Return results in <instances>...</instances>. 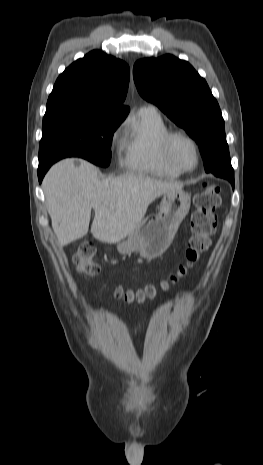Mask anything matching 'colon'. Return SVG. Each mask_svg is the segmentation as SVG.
Returning a JSON list of instances; mask_svg holds the SVG:
<instances>
[{
  "mask_svg": "<svg viewBox=\"0 0 263 465\" xmlns=\"http://www.w3.org/2000/svg\"><path fill=\"white\" fill-rule=\"evenodd\" d=\"M193 202L195 210L191 216L192 236L186 250V262L171 274L167 280L161 282L163 290H168L172 285L188 275L189 271L200 260L201 255L210 247L211 236L216 231L217 216L215 210L221 202L218 186L206 184L203 190L194 196ZM94 255L95 249L92 245L81 244L78 247L74 255V261L80 273L86 276H94L99 272V264L94 260ZM116 295L119 298H124L129 303H142L155 297L156 288L154 285H147L136 291H124L118 288Z\"/></svg>",
  "mask_w": 263,
  "mask_h": 465,
  "instance_id": "1",
  "label": "colon"
}]
</instances>
